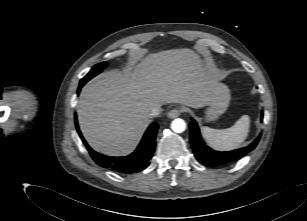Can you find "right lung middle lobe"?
Returning a JSON list of instances; mask_svg holds the SVG:
<instances>
[{
	"instance_id": "obj_1",
	"label": "right lung middle lobe",
	"mask_w": 307,
	"mask_h": 221,
	"mask_svg": "<svg viewBox=\"0 0 307 221\" xmlns=\"http://www.w3.org/2000/svg\"><path fill=\"white\" fill-rule=\"evenodd\" d=\"M107 66L106 62H102L99 64H96L91 71L81 80L80 83L85 84L87 81H89L91 78L99 74L105 67Z\"/></svg>"
}]
</instances>
